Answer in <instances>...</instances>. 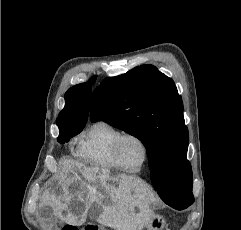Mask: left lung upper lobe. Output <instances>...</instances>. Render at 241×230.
Returning <instances> with one entry per match:
<instances>
[{
    "label": "left lung upper lobe",
    "instance_id": "5c2ea615",
    "mask_svg": "<svg viewBox=\"0 0 241 230\" xmlns=\"http://www.w3.org/2000/svg\"><path fill=\"white\" fill-rule=\"evenodd\" d=\"M90 119L105 121L141 140L149 167H162L163 182L157 192L165 203H193L188 129L182 98L171 78L147 64L104 79L94 90Z\"/></svg>",
    "mask_w": 241,
    "mask_h": 230
}]
</instances>
